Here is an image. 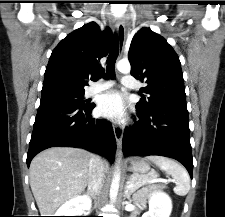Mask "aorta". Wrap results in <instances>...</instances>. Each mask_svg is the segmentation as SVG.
I'll use <instances>...</instances> for the list:
<instances>
[{"label": "aorta", "mask_w": 225, "mask_h": 217, "mask_svg": "<svg viewBox=\"0 0 225 217\" xmlns=\"http://www.w3.org/2000/svg\"><path fill=\"white\" fill-rule=\"evenodd\" d=\"M117 69L123 74H128V73H130L131 66L128 61H119L117 63ZM114 177L116 180H119V178H120V172H119L118 166H117V171L114 174Z\"/></svg>", "instance_id": "762f6f07"}]
</instances>
